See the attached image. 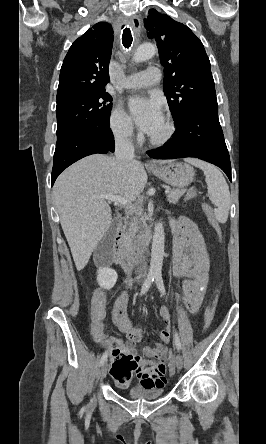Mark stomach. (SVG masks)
<instances>
[{
  "instance_id": "obj_1",
  "label": "stomach",
  "mask_w": 266,
  "mask_h": 444,
  "mask_svg": "<svg viewBox=\"0 0 266 444\" xmlns=\"http://www.w3.org/2000/svg\"><path fill=\"white\" fill-rule=\"evenodd\" d=\"M151 172L165 183L184 188L193 182L195 172L192 166L187 163L171 161L166 165H160L150 169Z\"/></svg>"
}]
</instances>
